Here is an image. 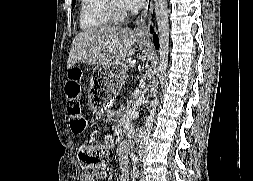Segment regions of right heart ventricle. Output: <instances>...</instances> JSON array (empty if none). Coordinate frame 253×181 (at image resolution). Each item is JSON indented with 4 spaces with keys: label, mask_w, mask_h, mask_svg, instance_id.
<instances>
[{
    "label": "right heart ventricle",
    "mask_w": 253,
    "mask_h": 181,
    "mask_svg": "<svg viewBox=\"0 0 253 181\" xmlns=\"http://www.w3.org/2000/svg\"><path fill=\"white\" fill-rule=\"evenodd\" d=\"M111 23L105 10V0H80L79 25L83 30H95Z\"/></svg>",
    "instance_id": "e07e8e85"
}]
</instances>
